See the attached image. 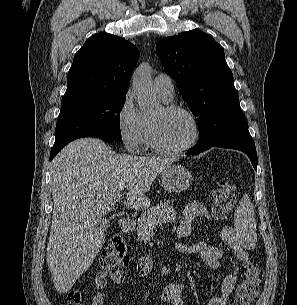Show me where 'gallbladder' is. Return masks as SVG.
<instances>
[{
  "label": "gallbladder",
  "mask_w": 297,
  "mask_h": 305,
  "mask_svg": "<svg viewBox=\"0 0 297 305\" xmlns=\"http://www.w3.org/2000/svg\"><path fill=\"white\" fill-rule=\"evenodd\" d=\"M109 226H110V222L107 220H102L98 223V228L102 232L107 230L109 228Z\"/></svg>",
  "instance_id": "1"
}]
</instances>
